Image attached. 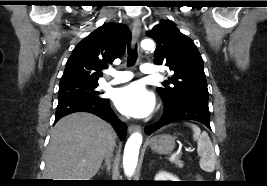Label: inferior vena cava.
Instances as JSON below:
<instances>
[{"instance_id": "inferior-vena-cava-1", "label": "inferior vena cava", "mask_w": 267, "mask_h": 186, "mask_svg": "<svg viewBox=\"0 0 267 186\" xmlns=\"http://www.w3.org/2000/svg\"><path fill=\"white\" fill-rule=\"evenodd\" d=\"M113 141L110 142L108 149H107V156L111 155V152L113 150Z\"/></svg>"}]
</instances>
